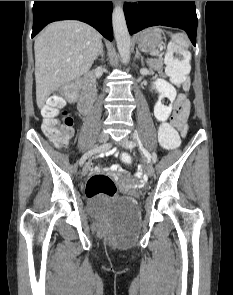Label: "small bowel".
<instances>
[{"instance_id": "c3829d8e", "label": "small bowel", "mask_w": 233, "mask_h": 295, "mask_svg": "<svg viewBox=\"0 0 233 295\" xmlns=\"http://www.w3.org/2000/svg\"><path fill=\"white\" fill-rule=\"evenodd\" d=\"M153 88L160 95L158 102L154 106L155 118L159 122L164 123L170 117L171 124L184 134L190 110L187 95L183 93L178 94L175 87L164 78L156 79L153 83ZM110 153H114V151ZM104 170L108 172H124L117 164H112Z\"/></svg>"}]
</instances>
